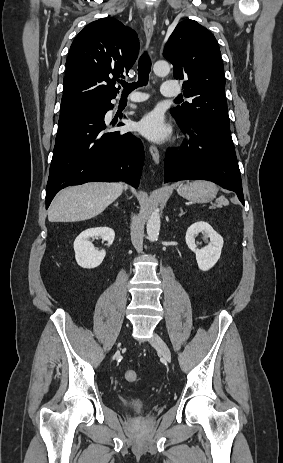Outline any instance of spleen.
<instances>
[{"label":"spleen","instance_id":"obj_1","mask_svg":"<svg viewBox=\"0 0 283 463\" xmlns=\"http://www.w3.org/2000/svg\"><path fill=\"white\" fill-rule=\"evenodd\" d=\"M217 201H218V202H221V204L227 203V200H226L223 196H221L220 198H218Z\"/></svg>","mask_w":283,"mask_h":463}]
</instances>
